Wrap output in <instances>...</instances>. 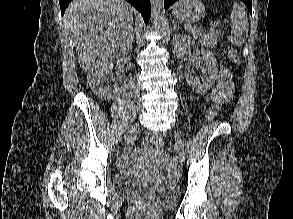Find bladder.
I'll return each instance as SVG.
<instances>
[{
  "instance_id": "bladder-1",
  "label": "bladder",
  "mask_w": 293,
  "mask_h": 219,
  "mask_svg": "<svg viewBox=\"0 0 293 219\" xmlns=\"http://www.w3.org/2000/svg\"><path fill=\"white\" fill-rule=\"evenodd\" d=\"M114 185L122 192L143 195L164 207L172 206L178 198L177 190L171 185L155 183L125 172L115 175Z\"/></svg>"
}]
</instances>
